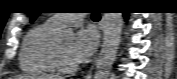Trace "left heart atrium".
<instances>
[{"label": "left heart atrium", "mask_w": 177, "mask_h": 79, "mask_svg": "<svg viewBox=\"0 0 177 79\" xmlns=\"http://www.w3.org/2000/svg\"><path fill=\"white\" fill-rule=\"evenodd\" d=\"M97 45V36L92 29L77 32L70 50L71 59L75 64L83 63L91 56Z\"/></svg>", "instance_id": "left-heart-atrium-1"}]
</instances>
